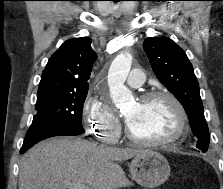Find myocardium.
Masks as SVG:
<instances>
[{
  "mask_svg": "<svg viewBox=\"0 0 223 189\" xmlns=\"http://www.w3.org/2000/svg\"><path fill=\"white\" fill-rule=\"evenodd\" d=\"M156 98H166L175 108L178 121L176 130L169 136L150 139L136 135L127 123L125 133L131 141L144 145L158 146L176 142L186 134L188 128V115L182 102L173 93L166 90H152L145 92L139 97V101L146 102Z\"/></svg>",
  "mask_w": 223,
  "mask_h": 189,
  "instance_id": "f54148a6",
  "label": "myocardium"
}]
</instances>
